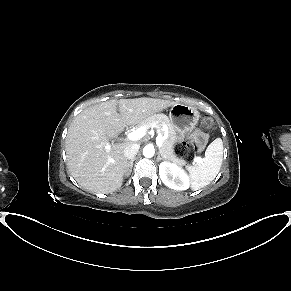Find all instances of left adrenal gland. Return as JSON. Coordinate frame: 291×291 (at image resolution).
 <instances>
[{"label": "left adrenal gland", "instance_id": "1", "mask_svg": "<svg viewBox=\"0 0 291 291\" xmlns=\"http://www.w3.org/2000/svg\"><path fill=\"white\" fill-rule=\"evenodd\" d=\"M162 159H164V158L160 156V152H159L157 160L159 161V160H162Z\"/></svg>", "mask_w": 291, "mask_h": 291}]
</instances>
